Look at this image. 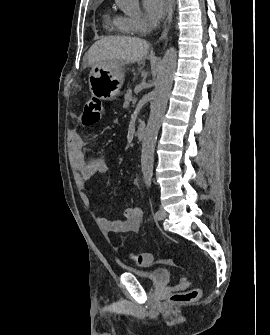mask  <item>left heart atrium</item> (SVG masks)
Wrapping results in <instances>:
<instances>
[{
  "label": "left heart atrium",
  "mask_w": 270,
  "mask_h": 335,
  "mask_svg": "<svg viewBox=\"0 0 270 335\" xmlns=\"http://www.w3.org/2000/svg\"><path fill=\"white\" fill-rule=\"evenodd\" d=\"M144 8L154 28L159 26L160 21L165 18L169 12V4L165 0H145Z\"/></svg>",
  "instance_id": "39dd6f15"
}]
</instances>
